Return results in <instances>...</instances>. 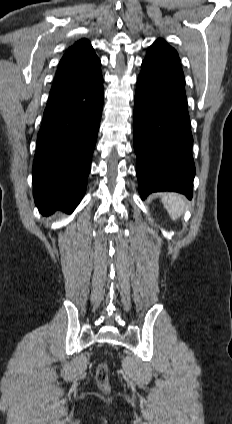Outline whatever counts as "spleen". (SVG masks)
Returning a JSON list of instances; mask_svg holds the SVG:
<instances>
[{"instance_id": "obj_1", "label": "spleen", "mask_w": 232, "mask_h": 424, "mask_svg": "<svg viewBox=\"0 0 232 424\" xmlns=\"http://www.w3.org/2000/svg\"><path fill=\"white\" fill-rule=\"evenodd\" d=\"M161 201L172 220L178 219L186 208L185 197L178 193H164L161 197Z\"/></svg>"}]
</instances>
